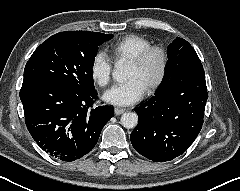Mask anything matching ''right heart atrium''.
Segmentation results:
<instances>
[{"label":"right heart atrium","mask_w":240,"mask_h":191,"mask_svg":"<svg viewBox=\"0 0 240 191\" xmlns=\"http://www.w3.org/2000/svg\"><path fill=\"white\" fill-rule=\"evenodd\" d=\"M90 72L92 79L100 86H106L112 73V63L107 55L99 52L94 55L90 65Z\"/></svg>","instance_id":"1"}]
</instances>
